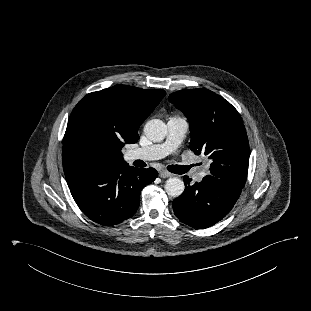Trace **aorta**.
I'll return each instance as SVG.
<instances>
[{
	"label": "aorta",
	"instance_id": "obj_1",
	"mask_svg": "<svg viewBox=\"0 0 311 311\" xmlns=\"http://www.w3.org/2000/svg\"><path fill=\"white\" fill-rule=\"evenodd\" d=\"M144 133L148 139L153 142H160L164 140L167 134V127L162 120H149L144 126ZM165 191L171 197H179L184 189V182L177 177L169 178L165 183Z\"/></svg>",
	"mask_w": 311,
	"mask_h": 311
}]
</instances>
